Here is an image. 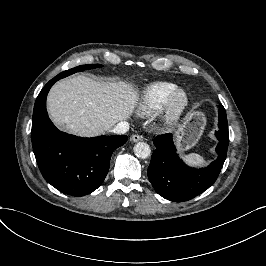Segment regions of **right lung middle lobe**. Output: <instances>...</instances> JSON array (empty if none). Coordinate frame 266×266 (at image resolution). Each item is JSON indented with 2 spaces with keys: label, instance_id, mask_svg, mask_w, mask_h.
Here are the masks:
<instances>
[{
  "label": "right lung middle lobe",
  "instance_id": "obj_1",
  "mask_svg": "<svg viewBox=\"0 0 266 266\" xmlns=\"http://www.w3.org/2000/svg\"><path fill=\"white\" fill-rule=\"evenodd\" d=\"M97 67H101V65H99V64L81 65V66H77L75 68H72L70 70L64 71V72L58 74L56 77L61 79V78H64L66 76H69L75 72H80V71H84L86 69H93V68H97Z\"/></svg>",
  "mask_w": 266,
  "mask_h": 266
}]
</instances>
